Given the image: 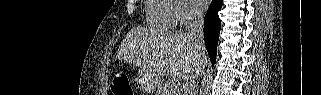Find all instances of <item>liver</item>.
Segmentation results:
<instances>
[{"mask_svg":"<svg viewBox=\"0 0 321 95\" xmlns=\"http://www.w3.org/2000/svg\"><path fill=\"white\" fill-rule=\"evenodd\" d=\"M117 58L140 67L158 80L166 74L187 80L207 64L186 33L160 34L145 28L131 29L121 43Z\"/></svg>","mask_w":321,"mask_h":95,"instance_id":"1","label":"liver"}]
</instances>
